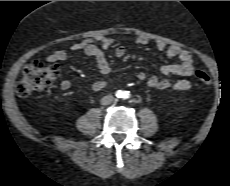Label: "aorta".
<instances>
[{"label": "aorta", "mask_w": 230, "mask_h": 186, "mask_svg": "<svg viewBox=\"0 0 230 186\" xmlns=\"http://www.w3.org/2000/svg\"><path fill=\"white\" fill-rule=\"evenodd\" d=\"M125 95V92H121L119 96L123 97Z\"/></svg>", "instance_id": "obj_1"}]
</instances>
